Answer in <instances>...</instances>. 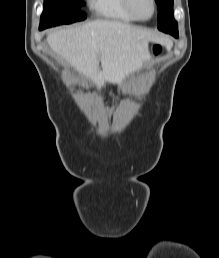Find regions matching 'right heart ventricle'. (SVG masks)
Listing matches in <instances>:
<instances>
[{"mask_svg":"<svg viewBox=\"0 0 219 258\" xmlns=\"http://www.w3.org/2000/svg\"><path fill=\"white\" fill-rule=\"evenodd\" d=\"M90 7L104 19L118 22H134L136 19L125 7L124 0H89Z\"/></svg>","mask_w":219,"mask_h":258,"instance_id":"obj_1","label":"right heart ventricle"}]
</instances>
